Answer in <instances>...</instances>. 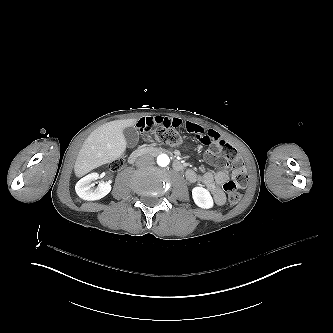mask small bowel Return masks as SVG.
<instances>
[{
	"label": "small bowel",
	"mask_w": 333,
	"mask_h": 333,
	"mask_svg": "<svg viewBox=\"0 0 333 333\" xmlns=\"http://www.w3.org/2000/svg\"><path fill=\"white\" fill-rule=\"evenodd\" d=\"M181 124V120L178 118H165L159 116H152V117H145L138 121L137 126L141 130H148L154 126H162V127H178ZM187 129L190 131H194L197 133H202L200 127L197 125L187 122L186 123ZM208 135L211 137H217V133L210 130L207 132ZM232 144L231 143H217L216 145L212 146L213 152H219L220 150H231ZM212 153V152H210ZM235 161L241 160L240 154L234 155ZM212 164H218L219 158L212 157L211 158ZM235 173V171H234ZM186 178L189 182H201L211 193L213 200L216 205H223L226 202V195L224 192V185L230 180L229 174L224 170H217V171H207L203 174H199L194 170H187L186 171Z\"/></svg>",
	"instance_id": "c3829d8e"
}]
</instances>
